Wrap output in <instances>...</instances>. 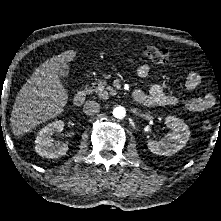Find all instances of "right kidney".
Returning a JSON list of instances; mask_svg holds the SVG:
<instances>
[{
    "instance_id": "obj_1",
    "label": "right kidney",
    "mask_w": 221,
    "mask_h": 221,
    "mask_svg": "<svg viewBox=\"0 0 221 221\" xmlns=\"http://www.w3.org/2000/svg\"><path fill=\"white\" fill-rule=\"evenodd\" d=\"M64 122L54 121L40 130L35 143V151L42 157L55 159L65 155L68 145L65 143L54 145L52 135L63 130Z\"/></svg>"
}]
</instances>
